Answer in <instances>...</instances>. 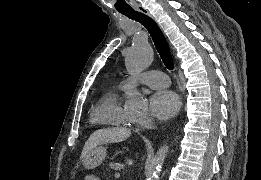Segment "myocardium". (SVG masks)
Listing matches in <instances>:
<instances>
[{"instance_id":"obj_1","label":"myocardium","mask_w":261,"mask_h":180,"mask_svg":"<svg viewBox=\"0 0 261 180\" xmlns=\"http://www.w3.org/2000/svg\"><path fill=\"white\" fill-rule=\"evenodd\" d=\"M118 121L121 127L129 129L134 128L138 124V120L135 121L127 119L123 111L119 113Z\"/></svg>"}]
</instances>
